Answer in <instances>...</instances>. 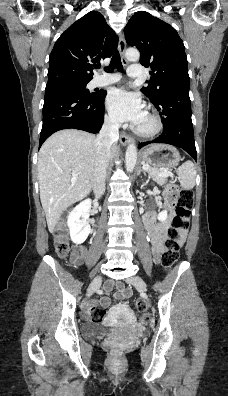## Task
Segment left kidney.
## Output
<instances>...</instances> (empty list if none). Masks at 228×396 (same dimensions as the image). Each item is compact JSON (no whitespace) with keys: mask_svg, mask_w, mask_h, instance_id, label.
Here are the masks:
<instances>
[{"mask_svg":"<svg viewBox=\"0 0 228 396\" xmlns=\"http://www.w3.org/2000/svg\"><path fill=\"white\" fill-rule=\"evenodd\" d=\"M166 219H167V211L166 210H164L158 214L159 221H165Z\"/></svg>","mask_w":228,"mask_h":396,"instance_id":"obj_1","label":"left kidney"}]
</instances>
